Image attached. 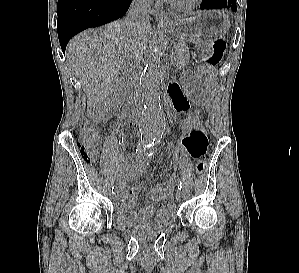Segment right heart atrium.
Masks as SVG:
<instances>
[{"label": "right heart atrium", "instance_id": "d8ad5b80", "mask_svg": "<svg viewBox=\"0 0 299 273\" xmlns=\"http://www.w3.org/2000/svg\"><path fill=\"white\" fill-rule=\"evenodd\" d=\"M141 6L149 7L153 4L154 0H136Z\"/></svg>", "mask_w": 299, "mask_h": 273}]
</instances>
